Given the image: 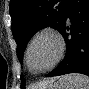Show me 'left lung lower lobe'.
I'll return each instance as SVG.
<instances>
[{"label": "left lung lower lobe", "instance_id": "1", "mask_svg": "<svg viewBox=\"0 0 89 89\" xmlns=\"http://www.w3.org/2000/svg\"><path fill=\"white\" fill-rule=\"evenodd\" d=\"M60 33L66 40V56L46 77L68 73L89 76V0H70Z\"/></svg>", "mask_w": 89, "mask_h": 89}]
</instances>
